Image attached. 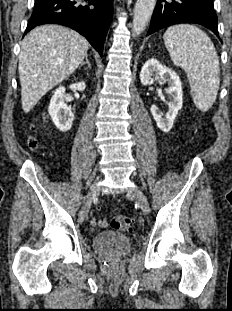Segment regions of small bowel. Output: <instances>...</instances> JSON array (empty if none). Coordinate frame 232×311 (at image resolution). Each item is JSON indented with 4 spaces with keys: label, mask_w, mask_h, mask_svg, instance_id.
I'll list each match as a JSON object with an SVG mask.
<instances>
[{
    "label": "small bowel",
    "mask_w": 232,
    "mask_h": 311,
    "mask_svg": "<svg viewBox=\"0 0 232 311\" xmlns=\"http://www.w3.org/2000/svg\"><path fill=\"white\" fill-rule=\"evenodd\" d=\"M90 223L92 226L105 227L107 225V222L105 220H98L96 218H92Z\"/></svg>",
    "instance_id": "c3829d8e"
}]
</instances>
